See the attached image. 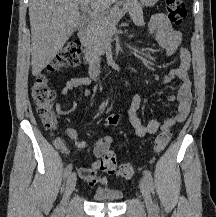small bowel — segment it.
<instances>
[{"label":"small bowel","instance_id":"small-bowel-1","mask_svg":"<svg viewBox=\"0 0 216 217\" xmlns=\"http://www.w3.org/2000/svg\"><path fill=\"white\" fill-rule=\"evenodd\" d=\"M148 26L150 33L155 34L157 43L165 50V55L167 57L177 56L179 59L178 67L170 70L169 73L162 78V83L170 84L175 79H179L180 85L177 94L168 97V100L177 102L176 111L172 116L166 117L162 121L150 119L147 124H143L138 116L142 94L138 93L133 97L127 114L129 123L139 137L156 134L159 130L170 129L174 125L183 122L190 112L192 102V80L189 76L191 54L183 46L182 34L173 29L169 19L162 13L154 14ZM89 83L90 78L88 77L72 78L64 83L60 92L63 96H70L73 90L84 88V94L90 96L91 91L86 88ZM57 110L60 114H66L70 111V108H65L57 104ZM65 132L77 148L84 149L89 146L85 141L79 138L74 128L69 127ZM112 144L113 138L109 135H105L90 146L94 160L90 167L79 170L80 178L89 185L100 186L102 188L108 186V180L105 177H98L97 171L99 170L102 157L110 152Z\"/></svg>","mask_w":216,"mask_h":217}]
</instances>
